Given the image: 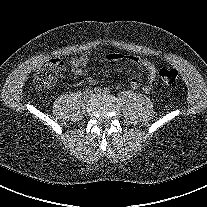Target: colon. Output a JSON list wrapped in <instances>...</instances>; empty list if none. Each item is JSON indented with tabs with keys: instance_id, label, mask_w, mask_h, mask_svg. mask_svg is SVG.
<instances>
[{
	"instance_id": "1",
	"label": "colon",
	"mask_w": 207,
	"mask_h": 207,
	"mask_svg": "<svg viewBox=\"0 0 207 207\" xmlns=\"http://www.w3.org/2000/svg\"><path fill=\"white\" fill-rule=\"evenodd\" d=\"M65 67L64 62L59 58L50 59L41 67L34 76V83L39 88L49 87L55 83ZM161 81L167 85H173L178 78V72L172 68H164L159 71Z\"/></svg>"
}]
</instances>
